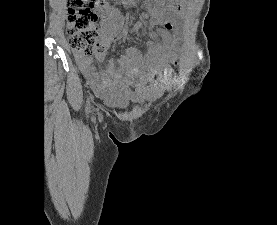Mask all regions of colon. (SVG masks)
I'll use <instances>...</instances> for the list:
<instances>
[{"label": "colon", "mask_w": 277, "mask_h": 225, "mask_svg": "<svg viewBox=\"0 0 277 225\" xmlns=\"http://www.w3.org/2000/svg\"><path fill=\"white\" fill-rule=\"evenodd\" d=\"M105 8L104 0H69L67 32L69 46L76 55L104 52L106 43L96 22Z\"/></svg>", "instance_id": "colon-1"}]
</instances>
